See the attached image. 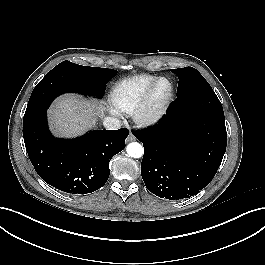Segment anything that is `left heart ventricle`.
Segmentation results:
<instances>
[{
    "mask_svg": "<svg viewBox=\"0 0 265 265\" xmlns=\"http://www.w3.org/2000/svg\"><path fill=\"white\" fill-rule=\"evenodd\" d=\"M170 85L168 81L162 80L156 87L154 98H153V106H159L163 99L169 93Z\"/></svg>",
    "mask_w": 265,
    "mask_h": 265,
    "instance_id": "left-heart-ventricle-1",
    "label": "left heart ventricle"
}]
</instances>
